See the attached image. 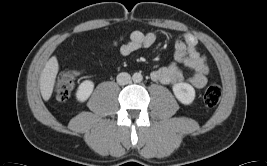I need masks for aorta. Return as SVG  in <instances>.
I'll list each match as a JSON object with an SVG mask.
<instances>
[{"label": "aorta", "mask_w": 267, "mask_h": 166, "mask_svg": "<svg viewBox=\"0 0 267 166\" xmlns=\"http://www.w3.org/2000/svg\"><path fill=\"white\" fill-rule=\"evenodd\" d=\"M132 80L135 83H140L143 80V76H142L141 73H134L133 76H132Z\"/></svg>", "instance_id": "1"}]
</instances>
